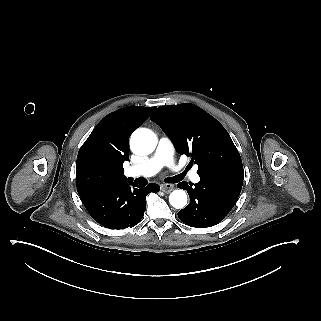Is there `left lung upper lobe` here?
<instances>
[{
	"instance_id": "obj_1",
	"label": "left lung upper lobe",
	"mask_w": 321,
	"mask_h": 321,
	"mask_svg": "<svg viewBox=\"0 0 321 321\" xmlns=\"http://www.w3.org/2000/svg\"><path fill=\"white\" fill-rule=\"evenodd\" d=\"M172 140L180 154L198 164V175L222 168L243 166L226 129L193 104L160 106L150 118Z\"/></svg>"
}]
</instances>
